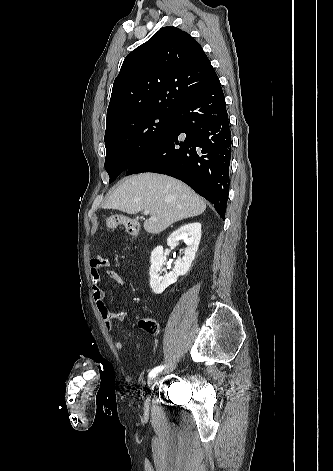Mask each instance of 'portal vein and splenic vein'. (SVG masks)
Listing matches in <instances>:
<instances>
[{
	"mask_svg": "<svg viewBox=\"0 0 333 471\" xmlns=\"http://www.w3.org/2000/svg\"><path fill=\"white\" fill-rule=\"evenodd\" d=\"M144 214L145 215L149 214V210H144Z\"/></svg>",
	"mask_w": 333,
	"mask_h": 471,
	"instance_id": "portal-vein-and-splenic-vein-1",
	"label": "portal vein and splenic vein"
}]
</instances>
